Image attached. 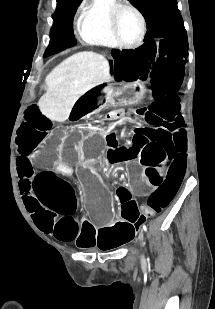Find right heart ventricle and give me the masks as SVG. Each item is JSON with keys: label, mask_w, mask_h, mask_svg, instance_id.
Returning <instances> with one entry per match:
<instances>
[{"label": "right heart ventricle", "mask_w": 215, "mask_h": 309, "mask_svg": "<svg viewBox=\"0 0 215 309\" xmlns=\"http://www.w3.org/2000/svg\"><path fill=\"white\" fill-rule=\"evenodd\" d=\"M81 32L83 39L89 43L104 47H114L115 37L111 29V19L108 9H95V14H87L81 19Z\"/></svg>", "instance_id": "e07e8e85"}]
</instances>
